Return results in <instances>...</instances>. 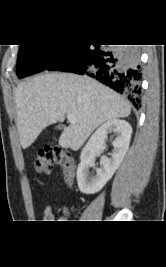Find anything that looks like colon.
<instances>
[{"label": "colon", "instance_id": "5ec220e1", "mask_svg": "<svg viewBox=\"0 0 166 267\" xmlns=\"http://www.w3.org/2000/svg\"><path fill=\"white\" fill-rule=\"evenodd\" d=\"M55 164L62 167L67 183L73 181L75 161L68 152L52 147L43 148L39 151L38 157L35 160V169L39 174H49ZM68 211V208L64 209L65 213Z\"/></svg>", "mask_w": 166, "mask_h": 267}]
</instances>
